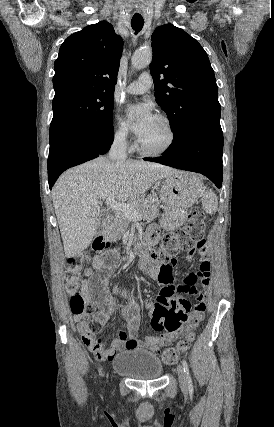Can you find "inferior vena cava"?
I'll use <instances>...</instances> for the list:
<instances>
[{"instance_id":"1","label":"inferior vena cava","mask_w":274,"mask_h":427,"mask_svg":"<svg viewBox=\"0 0 274 427\" xmlns=\"http://www.w3.org/2000/svg\"><path fill=\"white\" fill-rule=\"evenodd\" d=\"M127 142L125 136H118V138H115L111 150L108 154L109 160H112V162H118V160H126L127 154Z\"/></svg>"}]
</instances>
